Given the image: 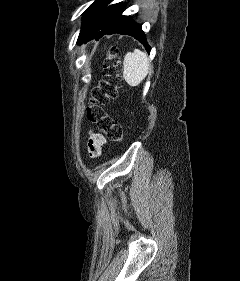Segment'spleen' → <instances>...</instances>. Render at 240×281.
<instances>
[{
	"label": "spleen",
	"instance_id": "1",
	"mask_svg": "<svg viewBox=\"0 0 240 281\" xmlns=\"http://www.w3.org/2000/svg\"><path fill=\"white\" fill-rule=\"evenodd\" d=\"M150 64L147 54L139 49L126 53L123 61V78L132 87L138 86L147 76Z\"/></svg>",
	"mask_w": 240,
	"mask_h": 281
}]
</instances>
